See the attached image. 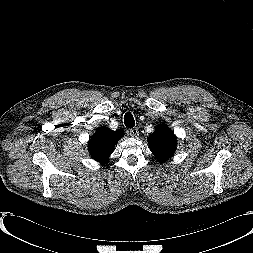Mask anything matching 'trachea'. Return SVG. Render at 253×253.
I'll return each mask as SVG.
<instances>
[{
  "label": "trachea",
  "mask_w": 253,
  "mask_h": 253,
  "mask_svg": "<svg viewBox=\"0 0 253 253\" xmlns=\"http://www.w3.org/2000/svg\"><path fill=\"white\" fill-rule=\"evenodd\" d=\"M124 124L127 128H133L135 126V120L130 112L124 115Z\"/></svg>",
  "instance_id": "1"
}]
</instances>
